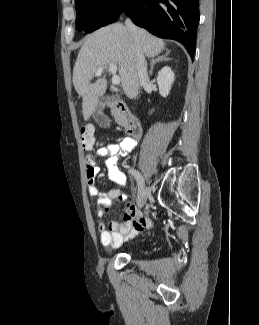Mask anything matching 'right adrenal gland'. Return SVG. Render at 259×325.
Returning a JSON list of instances; mask_svg holds the SVG:
<instances>
[{
	"mask_svg": "<svg viewBox=\"0 0 259 325\" xmlns=\"http://www.w3.org/2000/svg\"><path fill=\"white\" fill-rule=\"evenodd\" d=\"M168 54H169V52H166L164 55L159 56V57L151 60L149 76H152L153 68H154V65L156 63H158L160 61H168V60H170L169 58H167Z\"/></svg>",
	"mask_w": 259,
	"mask_h": 325,
	"instance_id": "right-adrenal-gland-1",
	"label": "right adrenal gland"
}]
</instances>
